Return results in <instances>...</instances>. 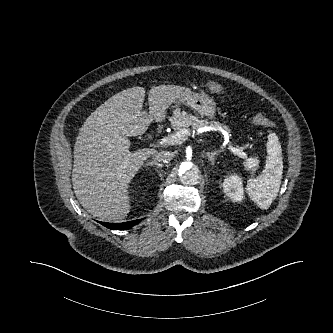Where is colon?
<instances>
[{
  "mask_svg": "<svg viewBox=\"0 0 333 333\" xmlns=\"http://www.w3.org/2000/svg\"><path fill=\"white\" fill-rule=\"evenodd\" d=\"M204 88L209 90L212 93L220 94L224 92V88L221 84L214 82V81H208L203 85ZM252 122L256 125L271 128L274 127L275 124L272 120L268 119L266 116L262 114H255L252 116Z\"/></svg>",
  "mask_w": 333,
  "mask_h": 333,
  "instance_id": "5ec220e1",
  "label": "colon"
}]
</instances>
